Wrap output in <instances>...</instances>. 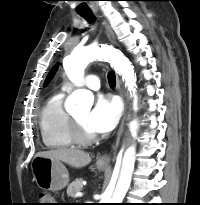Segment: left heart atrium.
I'll return each mask as SVG.
<instances>
[{
  "instance_id": "39dd6f15",
  "label": "left heart atrium",
  "mask_w": 200,
  "mask_h": 205,
  "mask_svg": "<svg viewBox=\"0 0 200 205\" xmlns=\"http://www.w3.org/2000/svg\"><path fill=\"white\" fill-rule=\"evenodd\" d=\"M119 103L110 96H99L89 112L86 124L94 134L110 132L118 123Z\"/></svg>"
}]
</instances>
